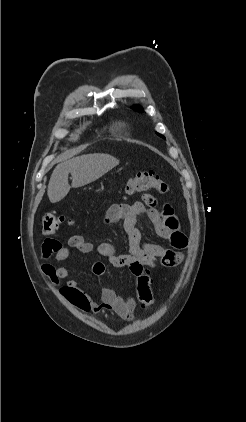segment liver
<instances>
[{"label":"liver","instance_id":"1","mask_svg":"<svg viewBox=\"0 0 246 422\" xmlns=\"http://www.w3.org/2000/svg\"><path fill=\"white\" fill-rule=\"evenodd\" d=\"M119 164V160L108 154H88L58 164L51 175L47 194L51 203L61 201L70 188L85 186L103 176ZM71 173L72 185L68 183Z\"/></svg>","mask_w":246,"mask_h":422}]
</instances>
